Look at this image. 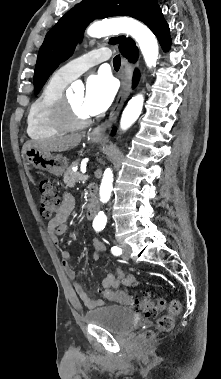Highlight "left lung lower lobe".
<instances>
[{
	"instance_id": "left-lung-lower-lobe-1",
	"label": "left lung lower lobe",
	"mask_w": 221,
	"mask_h": 379,
	"mask_svg": "<svg viewBox=\"0 0 221 379\" xmlns=\"http://www.w3.org/2000/svg\"><path fill=\"white\" fill-rule=\"evenodd\" d=\"M142 22H144L152 32L157 36L158 40L164 51H167L171 45V39L169 35L168 24L163 18L161 9L158 4H154L142 18ZM119 49L121 53L129 58L130 61H135L138 56V51L135 46V43L130 38H124L119 43ZM115 133V128L112 131V135Z\"/></svg>"
}]
</instances>
